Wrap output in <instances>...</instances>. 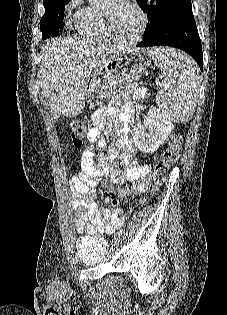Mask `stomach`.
Listing matches in <instances>:
<instances>
[{
    "instance_id": "0dacf381",
    "label": "stomach",
    "mask_w": 227,
    "mask_h": 315,
    "mask_svg": "<svg viewBox=\"0 0 227 315\" xmlns=\"http://www.w3.org/2000/svg\"><path fill=\"white\" fill-rule=\"evenodd\" d=\"M120 57L113 55L107 64L106 68H98L86 82V94H91L90 91H108L110 86L106 82H117L118 64Z\"/></svg>"
}]
</instances>
